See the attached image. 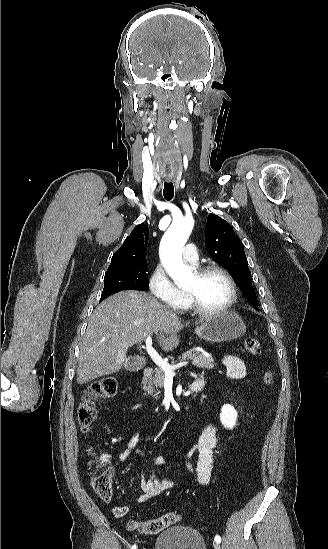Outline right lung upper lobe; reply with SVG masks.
I'll list each match as a JSON object with an SVG mask.
<instances>
[{
  "instance_id": "cb5924a9",
  "label": "right lung upper lobe",
  "mask_w": 328,
  "mask_h": 549,
  "mask_svg": "<svg viewBox=\"0 0 328 549\" xmlns=\"http://www.w3.org/2000/svg\"><path fill=\"white\" fill-rule=\"evenodd\" d=\"M148 239V226L143 223L139 224L112 256L111 264L107 271L123 267L130 263L146 261L145 252Z\"/></svg>"
}]
</instances>
